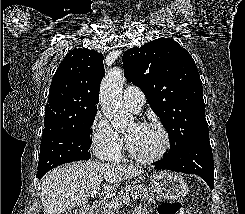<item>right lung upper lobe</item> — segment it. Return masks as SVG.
I'll list each match as a JSON object with an SVG mask.
<instances>
[{
	"label": "right lung upper lobe",
	"instance_id": "cb5924a9",
	"mask_svg": "<svg viewBox=\"0 0 245 214\" xmlns=\"http://www.w3.org/2000/svg\"><path fill=\"white\" fill-rule=\"evenodd\" d=\"M103 55L94 50H71L55 72L45 106L43 135L74 126L97 110L105 73Z\"/></svg>",
	"mask_w": 245,
	"mask_h": 214
}]
</instances>
